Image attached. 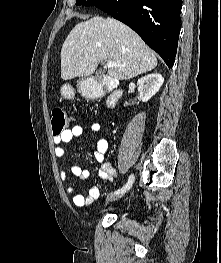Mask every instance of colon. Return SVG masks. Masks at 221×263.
<instances>
[{
  "mask_svg": "<svg viewBox=\"0 0 221 263\" xmlns=\"http://www.w3.org/2000/svg\"><path fill=\"white\" fill-rule=\"evenodd\" d=\"M70 122V117L62 109H54L52 111V133L54 136H60L68 127Z\"/></svg>",
  "mask_w": 221,
  "mask_h": 263,
  "instance_id": "obj_1",
  "label": "colon"
}]
</instances>
